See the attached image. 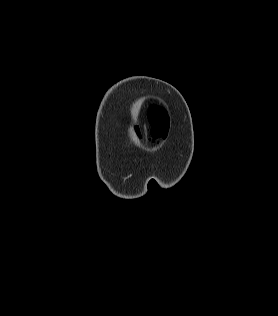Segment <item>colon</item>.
<instances>
[{
    "mask_svg": "<svg viewBox=\"0 0 278 316\" xmlns=\"http://www.w3.org/2000/svg\"><path fill=\"white\" fill-rule=\"evenodd\" d=\"M152 133L154 137H159L161 135V130L155 127L153 128Z\"/></svg>",
    "mask_w": 278,
    "mask_h": 316,
    "instance_id": "obj_1",
    "label": "colon"
}]
</instances>
